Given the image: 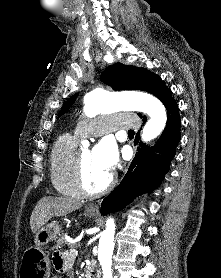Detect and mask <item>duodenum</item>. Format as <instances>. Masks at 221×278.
I'll return each mask as SVG.
<instances>
[{"label": "duodenum", "instance_id": "1", "mask_svg": "<svg viewBox=\"0 0 221 278\" xmlns=\"http://www.w3.org/2000/svg\"><path fill=\"white\" fill-rule=\"evenodd\" d=\"M86 277L87 278H100V271L95 264L89 263V265L87 266Z\"/></svg>", "mask_w": 221, "mask_h": 278}]
</instances>
